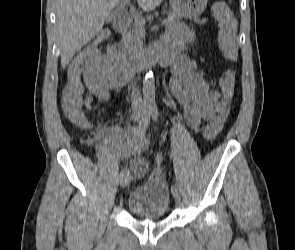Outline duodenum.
I'll return each instance as SVG.
<instances>
[{
  "mask_svg": "<svg viewBox=\"0 0 295 250\" xmlns=\"http://www.w3.org/2000/svg\"><path fill=\"white\" fill-rule=\"evenodd\" d=\"M112 25L115 32L124 34L130 26L129 15L126 13L117 15ZM168 62L169 58L160 46L152 47L137 55H130L126 53L124 41L121 39L117 43V56L114 58L115 78L118 82L124 83L152 65L160 64L166 67Z\"/></svg>",
  "mask_w": 295,
  "mask_h": 250,
  "instance_id": "obj_1",
  "label": "duodenum"
}]
</instances>
